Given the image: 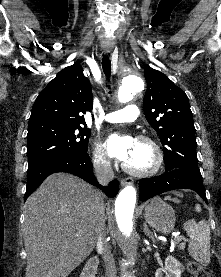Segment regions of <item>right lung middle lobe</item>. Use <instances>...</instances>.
I'll use <instances>...</instances> for the list:
<instances>
[{"label": "right lung middle lobe", "mask_w": 221, "mask_h": 277, "mask_svg": "<svg viewBox=\"0 0 221 277\" xmlns=\"http://www.w3.org/2000/svg\"><path fill=\"white\" fill-rule=\"evenodd\" d=\"M90 130L78 124L28 126V171L43 163L87 152Z\"/></svg>", "instance_id": "right-lung-middle-lobe-1"}]
</instances>
